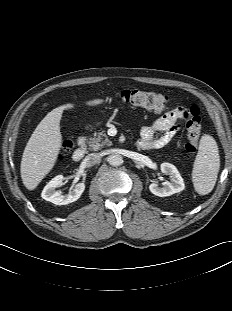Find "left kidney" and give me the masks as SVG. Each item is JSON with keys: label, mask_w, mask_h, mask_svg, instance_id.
<instances>
[{"label": "left kidney", "mask_w": 232, "mask_h": 311, "mask_svg": "<svg viewBox=\"0 0 232 311\" xmlns=\"http://www.w3.org/2000/svg\"><path fill=\"white\" fill-rule=\"evenodd\" d=\"M161 171L170 176L171 182L165 181L162 188L156 183L150 184L149 189L154 195L166 197L184 190L185 184L183 178L173 164L167 162L162 163Z\"/></svg>", "instance_id": "left-kidney-1"}]
</instances>
